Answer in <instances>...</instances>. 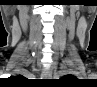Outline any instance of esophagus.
<instances>
[{
    "mask_svg": "<svg viewBox=\"0 0 97 87\" xmlns=\"http://www.w3.org/2000/svg\"><path fill=\"white\" fill-rule=\"evenodd\" d=\"M43 75H44V76H51V75H52V68L49 69V70H47V71H45V72L43 73Z\"/></svg>",
    "mask_w": 97,
    "mask_h": 87,
    "instance_id": "esophagus-1",
    "label": "esophagus"
}]
</instances>
